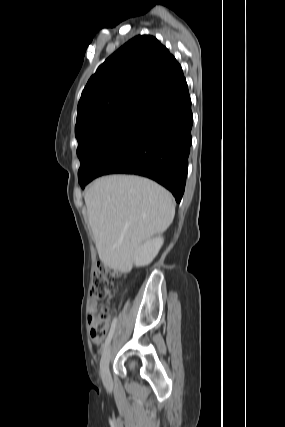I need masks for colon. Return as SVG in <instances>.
I'll return each instance as SVG.
<instances>
[{
	"label": "colon",
	"instance_id": "colon-1",
	"mask_svg": "<svg viewBox=\"0 0 285 427\" xmlns=\"http://www.w3.org/2000/svg\"><path fill=\"white\" fill-rule=\"evenodd\" d=\"M120 276L117 271H112L104 265H99L92 277L90 295L96 302L100 303L107 300L115 289V279ZM110 323L109 307L102 305L91 311L88 318L91 338L98 342L106 334Z\"/></svg>",
	"mask_w": 285,
	"mask_h": 427
}]
</instances>
